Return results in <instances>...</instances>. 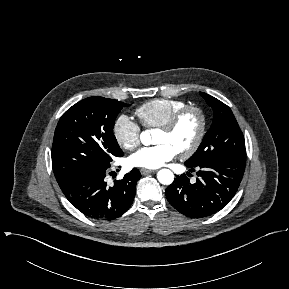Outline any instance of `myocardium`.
Returning a JSON list of instances; mask_svg holds the SVG:
<instances>
[{
	"mask_svg": "<svg viewBox=\"0 0 289 289\" xmlns=\"http://www.w3.org/2000/svg\"><path fill=\"white\" fill-rule=\"evenodd\" d=\"M188 113H195L199 118V129L197 135L191 145L183 151L178 152L179 157L185 159L192 156L200 147L207 129V117L205 112L198 106L195 105H186L183 108L175 112L169 120L159 127V130L170 133L178 126L180 121Z\"/></svg>",
	"mask_w": 289,
	"mask_h": 289,
	"instance_id": "1",
	"label": "myocardium"
}]
</instances>
